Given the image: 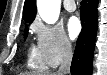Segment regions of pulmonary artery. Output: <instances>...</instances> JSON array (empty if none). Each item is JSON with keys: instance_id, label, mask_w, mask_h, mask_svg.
Segmentation results:
<instances>
[{"instance_id": "1", "label": "pulmonary artery", "mask_w": 107, "mask_h": 75, "mask_svg": "<svg viewBox=\"0 0 107 75\" xmlns=\"http://www.w3.org/2000/svg\"><path fill=\"white\" fill-rule=\"evenodd\" d=\"M63 5H64V8L69 12H73L76 10V4L74 0H64Z\"/></svg>"}]
</instances>
